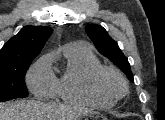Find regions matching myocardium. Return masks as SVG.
<instances>
[{"mask_svg": "<svg viewBox=\"0 0 165 120\" xmlns=\"http://www.w3.org/2000/svg\"><path fill=\"white\" fill-rule=\"evenodd\" d=\"M106 73L114 75L120 81L122 86L120 92L110 93L100 87V78ZM87 84L88 89L93 96L101 100L110 102H116L117 100L122 98L128 90V84L124 75L117 68L108 65H99L98 67L94 68L89 74Z\"/></svg>", "mask_w": 165, "mask_h": 120, "instance_id": "f54148a6", "label": "myocardium"}]
</instances>
